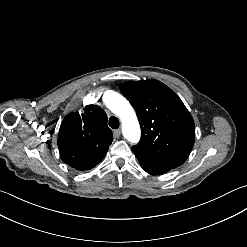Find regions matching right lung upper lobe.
<instances>
[{"label":"right lung upper lobe","mask_w":247,"mask_h":247,"mask_svg":"<svg viewBox=\"0 0 247 247\" xmlns=\"http://www.w3.org/2000/svg\"><path fill=\"white\" fill-rule=\"evenodd\" d=\"M112 141L107 115L97 105H87L82 114L66 115L58 134L61 159L80 171L90 170L100 163Z\"/></svg>","instance_id":"cb5924a9"}]
</instances>
